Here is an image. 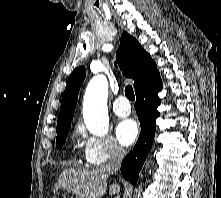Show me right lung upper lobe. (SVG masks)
I'll return each mask as SVG.
<instances>
[{
    "label": "right lung upper lobe",
    "mask_w": 221,
    "mask_h": 198,
    "mask_svg": "<svg viewBox=\"0 0 221 198\" xmlns=\"http://www.w3.org/2000/svg\"><path fill=\"white\" fill-rule=\"evenodd\" d=\"M117 62L123 74L134 80L135 93L143 89L159 72L150 55L144 51L135 38L127 32L121 35L120 46L116 54ZM86 76L85 68L78 67L69 76L62 96L57 131L70 127L78 100L79 88Z\"/></svg>",
    "instance_id": "obj_1"
}]
</instances>
